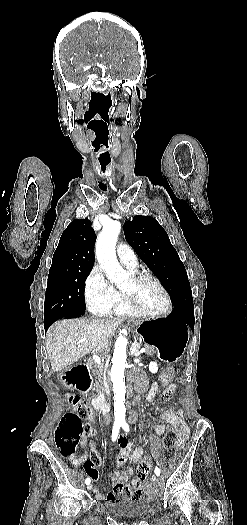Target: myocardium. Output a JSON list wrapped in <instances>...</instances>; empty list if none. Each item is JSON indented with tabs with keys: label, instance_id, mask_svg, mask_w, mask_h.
I'll return each instance as SVG.
<instances>
[{
	"label": "myocardium",
	"instance_id": "f54148a6",
	"mask_svg": "<svg viewBox=\"0 0 247 525\" xmlns=\"http://www.w3.org/2000/svg\"><path fill=\"white\" fill-rule=\"evenodd\" d=\"M145 278H148V279H151L153 280L157 286L161 289V291L163 292L164 296H165V305L163 308L159 309V310H156V311H152V310H149L147 309L144 304L139 300V298L137 297L138 299V311L139 313H141L142 315H145V316H150V317H161L165 314H167L170 310H171V307H172V299H171V296H170V293L168 292L167 288L164 286V284L162 283V281L154 274L152 273H146V272H142L140 273L139 275L135 276L134 277V280L136 282L138 281H141L142 279H145Z\"/></svg>",
	"mask_w": 247,
	"mask_h": 525
}]
</instances>
